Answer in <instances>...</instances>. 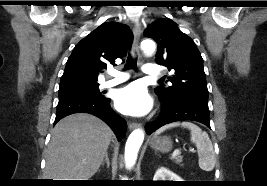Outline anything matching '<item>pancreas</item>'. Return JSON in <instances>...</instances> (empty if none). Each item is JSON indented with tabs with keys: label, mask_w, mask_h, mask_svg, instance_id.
<instances>
[{
	"label": "pancreas",
	"mask_w": 267,
	"mask_h": 186,
	"mask_svg": "<svg viewBox=\"0 0 267 186\" xmlns=\"http://www.w3.org/2000/svg\"><path fill=\"white\" fill-rule=\"evenodd\" d=\"M174 159H175V161H176V163H181L182 162V157L181 156H176V157H174Z\"/></svg>",
	"instance_id": "pancreas-1"
}]
</instances>
